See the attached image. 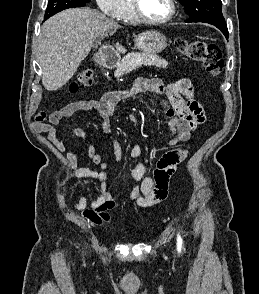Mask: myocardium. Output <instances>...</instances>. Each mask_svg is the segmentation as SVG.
<instances>
[{"instance_id":"myocardium-1","label":"myocardium","mask_w":259,"mask_h":294,"mask_svg":"<svg viewBox=\"0 0 259 294\" xmlns=\"http://www.w3.org/2000/svg\"><path fill=\"white\" fill-rule=\"evenodd\" d=\"M134 16L136 20L142 24L147 25H163L171 21L177 12L176 0H169L170 10L169 13L161 19H151L144 15L143 11L140 8L139 0H130Z\"/></svg>"}]
</instances>
